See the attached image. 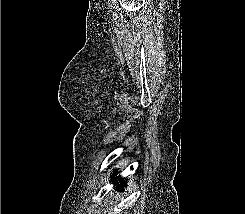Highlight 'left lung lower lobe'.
<instances>
[{
    "mask_svg": "<svg viewBox=\"0 0 245 214\" xmlns=\"http://www.w3.org/2000/svg\"><path fill=\"white\" fill-rule=\"evenodd\" d=\"M115 175H117V172L114 173V176H115ZM118 181L120 182V184H118ZM113 183L116 184L117 189H118L119 191H121V188H123L124 185H125V182H124L120 177H119V180H117V178H115V180H113Z\"/></svg>",
    "mask_w": 245,
    "mask_h": 214,
    "instance_id": "left-lung-lower-lobe-1",
    "label": "left lung lower lobe"
}]
</instances>
